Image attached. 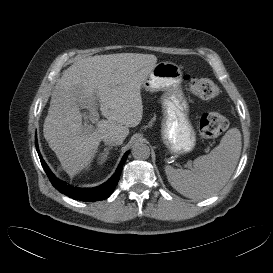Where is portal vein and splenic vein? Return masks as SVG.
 Wrapping results in <instances>:
<instances>
[{"label":"portal vein and splenic vein","instance_id":"obj_1","mask_svg":"<svg viewBox=\"0 0 273 273\" xmlns=\"http://www.w3.org/2000/svg\"><path fill=\"white\" fill-rule=\"evenodd\" d=\"M89 111H90V115H89L88 118L90 119V121H92V123H98V122H99V121H98V119H99V113H98V111H97V108H95V107H90V108H89ZM84 126H85V128H86L87 130H89V131L93 130V128H94L93 125L87 124V123H85Z\"/></svg>","mask_w":273,"mask_h":273}]
</instances>
